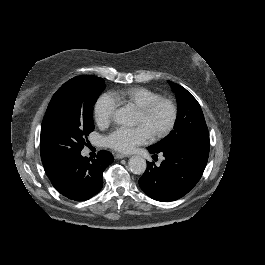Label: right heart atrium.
Here are the masks:
<instances>
[{
    "mask_svg": "<svg viewBox=\"0 0 265 265\" xmlns=\"http://www.w3.org/2000/svg\"><path fill=\"white\" fill-rule=\"evenodd\" d=\"M117 103L111 95L102 94L94 106V119L100 127L108 126L117 112Z\"/></svg>",
    "mask_w": 265,
    "mask_h": 265,
    "instance_id": "1",
    "label": "right heart atrium"
}]
</instances>
